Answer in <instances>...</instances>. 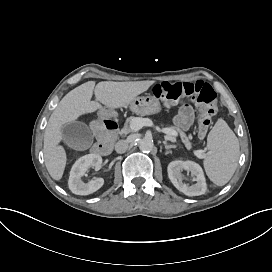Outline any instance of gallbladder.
<instances>
[{"label":"gallbladder","instance_id":"bac80fb5","mask_svg":"<svg viewBox=\"0 0 272 272\" xmlns=\"http://www.w3.org/2000/svg\"><path fill=\"white\" fill-rule=\"evenodd\" d=\"M65 143L73 149H88L94 142L91 129L83 122H69L62 127Z\"/></svg>","mask_w":272,"mask_h":272}]
</instances>
